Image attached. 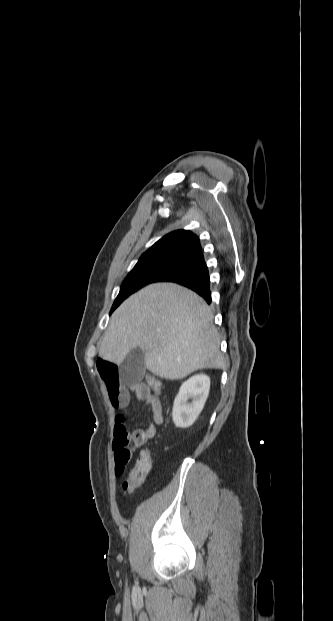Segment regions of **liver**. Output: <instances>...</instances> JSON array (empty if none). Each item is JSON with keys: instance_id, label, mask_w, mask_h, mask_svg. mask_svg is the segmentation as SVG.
<instances>
[{"instance_id": "obj_1", "label": "liver", "mask_w": 333, "mask_h": 621, "mask_svg": "<svg viewBox=\"0 0 333 621\" xmlns=\"http://www.w3.org/2000/svg\"><path fill=\"white\" fill-rule=\"evenodd\" d=\"M213 314L193 291L156 283L125 300L113 313L99 356L121 364L134 348L144 353L147 369L170 380L205 368H224Z\"/></svg>"}]
</instances>
